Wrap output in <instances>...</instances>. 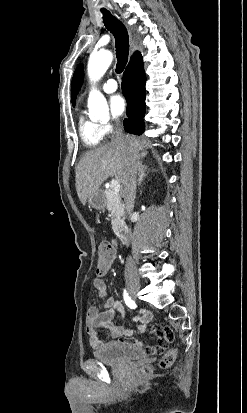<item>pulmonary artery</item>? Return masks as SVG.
<instances>
[{
    "mask_svg": "<svg viewBox=\"0 0 247 413\" xmlns=\"http://www.w3.org/2000/svg\"><path fill=\"white\" fill-rule=\"evenodd\" d=\"M100 88L105 93H112L118 88L117 81L114 78H109L100 84Z\"/></svg>",
    "mask_w": 247,
    "mask_h": 413,
    "instance_id": "e3ab8cb5",
    "label": "pulmonary artery"
}]
</instances>
